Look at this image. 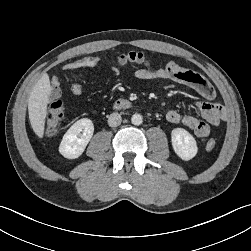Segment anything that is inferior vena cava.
Instances as JSON below:
<instances>
[{
	"mask_svg": "<svg viewBox=\"0 0 251 251\" xmlns=\"http://www.w3.org/2000/svg\"><path fill=\"white\" fill-rule=\"evenodd\" d=\"M122 117L119 113H112L108 117V125L110 127H117L121 124Z\"/></svg>",
	"mask_w": 251,
	"mask_h": 251,
	"instance_id": "inferior-vena-cava-1",
	"label": "inferior vena cava"
}]
</instances>
